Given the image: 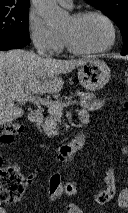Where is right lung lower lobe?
<instances>
[{
	"label": "right lung lower lobe",
	"mask_w": 128,
	"mask_h": 213,
	"mask_svg": "<svg viewBox=\"0 0 128 213\" xmlns=\"http://www.w3.org/2000/svg\"><path fill=\"white\" fill-rule=\"evenodd\" d=\"M28 43L17 40H0V51H6L15 48H22Z\"/></svg>",
	"instance_id": "right-lung-lower-lobe-1"
}]
</instances>
